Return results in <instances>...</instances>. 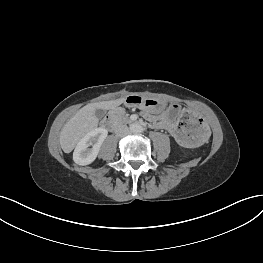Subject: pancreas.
I'll use <instances>...</instances> for the list:
<instances>
[{
  "mask_svg": "<svg viewBox=\"0 0 263 263\" xmlns=\"http://www.w3.org/2000/svg\"><path fill=\"white\" fill-rule=\"evenodd\" d=\"M111 117L116 124H123L129 122L127 114H125L124 111L120 109L113 110Z\"/></svg>",
  "mask_w": 263,
  "mask_h": 263,
  "instance_id": "1",
  "label": "pancreas"
}]
</instances>
